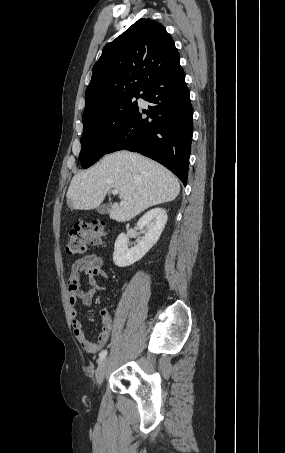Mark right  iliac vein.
<instances>
[{
	"instance_id": "63e3f726",
	"label": "right iliac vein",
	"mask_w": 285,
	"mask_h": 453,
	"mask_svg": "<svg viewBox=\"0 0 285 453\" xmlns=\"http://www.w3.org/2000/svg\"><path fill=\"white\" fill-rule=\"evenodd\" d=\"M107 366H108V359H103L102 362L100 363L99 367L97 368V371H96V386L97 388L100 387L104 377H105V374H106V370H107Z\"/></svg>"
}]
</instances>
